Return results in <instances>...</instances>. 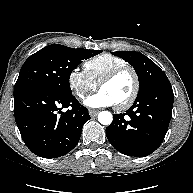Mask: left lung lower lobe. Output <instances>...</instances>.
<instances>
[{
	"label": "left lung lower lobe",
	"instance_id": "1",
	"mask_svg": "<svg viewBox=\"0 0 193 193\" xmlns=\"http://www.w3.org/2000/svg\"><path fill=\"white\" fill-rule=\"evenodd\" d=\"M174 94L168 78L138 96L123 114H114L106 135L122 154L143 157L154 152L163 142L173 108Z\"/></svg>",
	"mask_w": 193,
	"mask_h": 193
}]
</instances>
